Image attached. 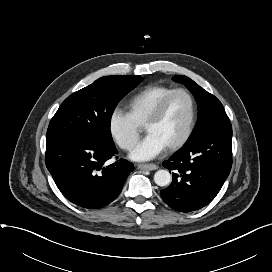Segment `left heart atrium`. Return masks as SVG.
Segmentation results:
<instances>
[{
	"mask_svg": "<svg viewBox=\"0 0 272 272\" xmlns=\"http://www.w3.org/2000/svg\"><path fill=\"white\" fill-rule=\"evenodd\" d=\"M166 149L162 141L154 134H148L131 152L135 161H147L155 158Z\"/></svg>",
	"mask_w": 272,
	"mask_h": 272,
	"instance_id": "obj_1",
	"label": "left heart atrium"
}]
</instances>
